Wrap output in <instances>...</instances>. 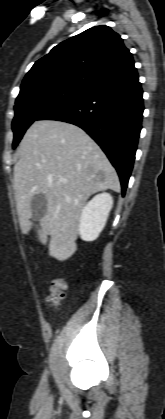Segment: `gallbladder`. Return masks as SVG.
Here are the masks:
<instances>
[{
    "label": "gallbladder",
    "instance_id": "obj_1",
    "mask_svg": "<svg viewBox=\"0 0 165 419\" xmlns=\"http://www.w3.org/2000/svg\"><path fill=\"white\" fill-rule=\"evenodd\" d=\"M30 206L33 220L39 221L47 211V199L45 195L37 194L33 196Z\"/></svg>",
    "mask_w": 165,
    "mask_h": 419
}]
</instances>
